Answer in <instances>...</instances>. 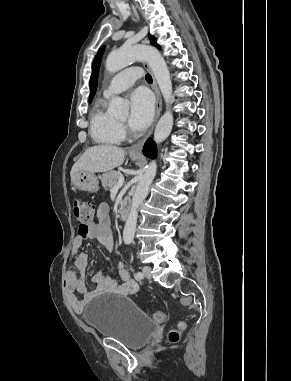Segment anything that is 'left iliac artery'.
Here are the masks:
<instances>
[{
  "label": "left iliac artery",
  "instance_id": "left-iliac-artery-1",
  "mask_svg": "<svg viewBox=\"0 0 291 381\" xmlns=\"http://www.w3.org/2000/svg\"><path fill=\"white\" fill-rule=\"evenodd\" d=\"M135 276L137 279H142L144 277L143 273L140 271H138Z\"/></svg>",
  "mask_w": 291,
  "mask_h": 381
}]
</instances>
